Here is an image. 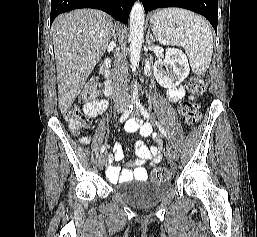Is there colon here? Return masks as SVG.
I'll return each mask as SVG.
<instances>
[{
    "mask_svg": "<svg viewBox=\"0 0 257 237\" xmlns=\"http://www.w3.org/2000/svg\"><path fill=\"white\" fill-rule=\"evenodd\" d=\"M209 78L207 75H198L193 77L188 84L191 93L203 94L208 86ZM82 100H91L97 97V88L94 82L87 84L81 92ZM181 115L188 125H194L200 120L198 105L193 102H184L181 105ZM65 118L70 125L73 133H79L89 125V120L85 117L78 106L69 107L65 113ZM171 177L170 169L160 167L152 171L151 179L153 181L168 180Z\"/></svg>",
    "mask_w": 257,
    "mask_h": 237,
    "instance_id": "colon-1",
    "label": "colon"
}]
</instances>
